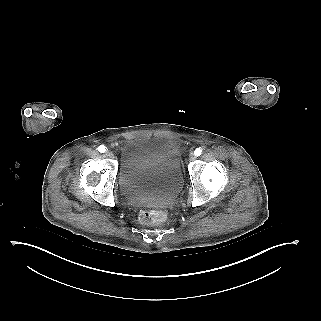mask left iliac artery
<instances>
[{
  "mask_svg": "<svg viewBox=\"0 0 321 321\" xmlns=\"http://www.w3.org/2000/svg\"><path fill=\"white\" fill-rule=\"evenodd\" d=\"M201 153H202V149H201V148H197V149L195 150V152H194V154H195L196 156H200Z\"/></svg>",
  "mask_w": 321,
  "mask_h": 321,
  "instance_id": "1",
  "label": "left iliac artery"
}]
</instances>
